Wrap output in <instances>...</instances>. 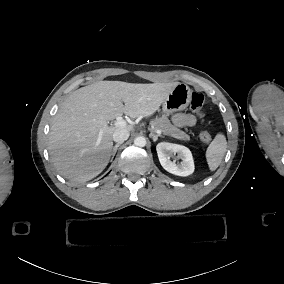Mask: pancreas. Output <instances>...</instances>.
I'll return each instance as SVG.
<instances>
[{
  "instance_id": "pancreas-1",
  "label": "pancreas",
  "mask_w": 284,
  "mask_h": 284,
  "mask_svg": "<svg viewBox=\"0 0 284 284\" xmlns=\"http://www.w3.org/2000/svg\"><path fill=\"white\" fill-rule=\"evenodd\" d=\"M150 126V130H161L164 135H169L181 140H190V136L175 127L174 125H172L167 116L165 115L150 121Z\"/></svg>"
}]
</instances>
